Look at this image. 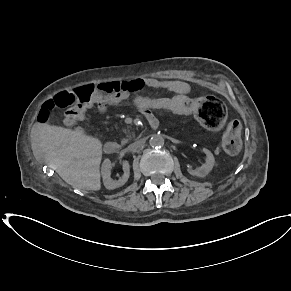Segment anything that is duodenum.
<instances>
[{"mask_svg": "<svg viewBox=\"0 0 291 291\" xmlns=\"http://www.w3.org/2000/svg\"><path fill=\"white\" fill-rule=\"evenodd\" d=\"M150 121V125L151 127H155L156 126V122L155 120H149ZM103 150L106 154H113L116 153L120 150V145L118 143L115 142H107L104 147Z\"/></svg>", "mask_w": 291, "mask_h": 291, "instance_id": "obj_1", "label": "duodenum"}]
</instances>
